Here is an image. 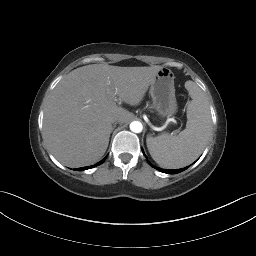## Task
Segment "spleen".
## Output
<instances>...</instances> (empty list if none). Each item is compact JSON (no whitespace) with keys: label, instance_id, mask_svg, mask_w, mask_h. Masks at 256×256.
I'll list each match as a JSON object with an SVG mask.
<instances>
[{"label":"spleen","instance_id":"obj_1","mask_svg":"<svg viewBox=\"0 0 256 256\" xmlns=\"http://www.w3.org/2000/svg\"><path fill=\"white\" fill-rule=\"evenodd\" d=\"M191 101L187 103L186 128L177 136L162 134L147 137L146 143L153 160L161 167L176 169L195 161L207 145L212 131L208 100L193 82L187 81Z\"/></svg>","mask_w":256,"mask_h":256}]
</instances>
